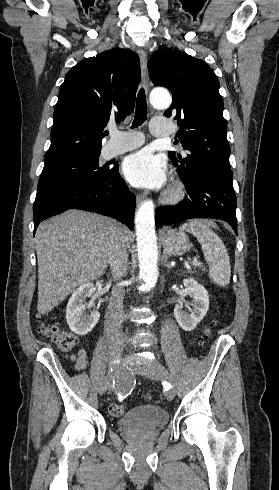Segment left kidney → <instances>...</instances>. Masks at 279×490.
Returning <instances> with one entry per match:
<instances>
[{
	"label": "left kidney",
	"instance_id": "obj_1",
	"mask_svg": "<svg viewBox=\"0 0 279 490\" xmlns=\"http://www.w3.org/2000/svg\"><path fill=\"white\" fill-rule=\"evenodd\" d=\"M187 296L192 298L190 306H193V310L190 312H183V302H178L174 308V316L177 324H179L182 330L185 332H191L199 322L203 320L209 310V296L204 286L198 284L194 278H188L183 280Z\"/></svg>",
	"mask_w": 279,
	"mask_h": 490
}]
</instances>
